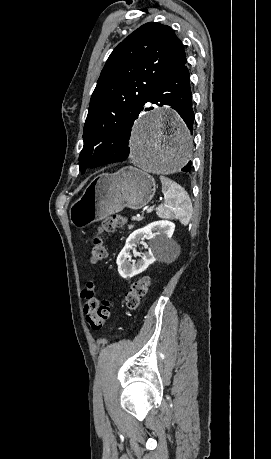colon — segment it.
<instances>
[{
	"mask_svg": "<svg viewBox=\"0 0 271 459\" xmlns=\"http://www.w3.org/2000/svg\"><path fill=\"white\" fill-rule=\"evenodd\" d=\"M125 223V217L120 214L111 215L102 220L97 234L92 240L90 260L92 263L101 262L106 256V246L101 237L104 233L114 232ZM150 280L147 277L136 280L125 294V305L129 309H136L146 296ZM86 320L94 330L101 329L110 314L108 301H99L95 296L90 298L85 307Z\"/></svg>",
	"mask_w": 271,
	"mask_h": 459,
	"instance_id": "1",
	"label": "colon"
}]
</instances>
